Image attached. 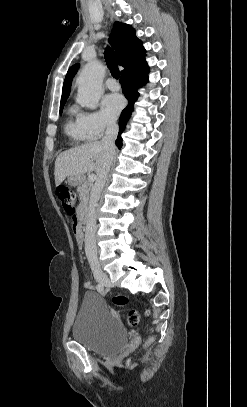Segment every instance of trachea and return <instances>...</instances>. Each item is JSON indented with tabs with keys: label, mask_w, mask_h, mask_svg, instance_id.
<instances>
[{
	"label": "trachea",
	"mask_w": 247,
	"mask_h": 407,
	"mask_svg": "<svg viewBox=\"0 0 247 407\" xmlns=\"http://www.w3.org/2000/svg\"><path fill=\"white\" fill-rule=\"evenodd\" d=\"M105 61H106L107 66L110 69L111 75L115 79H119V77H120L119 68H118L117 63L114 58V52L110 47H107L105 50Z\"/></svg>",
	"instance_id": "1"
}]
</instances>
